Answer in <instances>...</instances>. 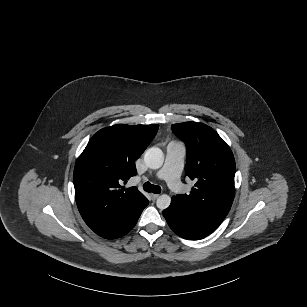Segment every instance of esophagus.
Listing matches in <instances>:
<instances>
[{
	"label": "esophagus",
	"mask_w": 307,
	"mask_h": 307,
	"mask_svg": "<svg viewBox=\"0 0 307 307\" xmlns=\"http://www.w3.org/2000/svg\"><path fill=\"white\" fill-rule=\"evenodd\" d=\"M150 196L152 198V201H155L159 197L158 194H153V193H150Z\"/></svg>",
	"instance_id": "esophagus-1"
}]
</instances>
